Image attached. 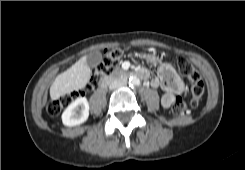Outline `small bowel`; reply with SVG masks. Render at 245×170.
Returning <instances> with one entry per match:
<instances>
[{"label":"small bowel","mask_w":245,"mask_h":170,"mask_svg":"<svg viewBox=\"0 0 245 170\" xmlns=\"http://www.w3.org/2000/svg\"><path fill=\"white\" fill-rule=\"evenodd\" d=\"M151 86L154 88H162L164 94L162 104L164 107H169L177 93L181 88L180 78L175 69L169 64H162L158 68V77L151 80Z\"/></svg>","instance_id":"1"}]
</instances>
